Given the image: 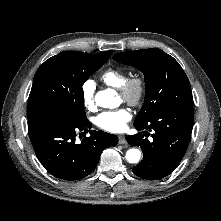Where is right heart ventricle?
<instances>
[{"mask_svg": "<svg viewBox=\"0 0 221 221\" xmlns=\"http://www.w3.org/2000/svg\"><path fill=\"white\" fill-rule=\"evenodd\" d=\"M101 80L108 86L119 89L126 80V75L119 69L109 68L102 73Z\"/></svg>", "mask_w": 221, "mask_h": 221, "instance_id": "1", "label": "right heart ventricle"}]
</instances>
